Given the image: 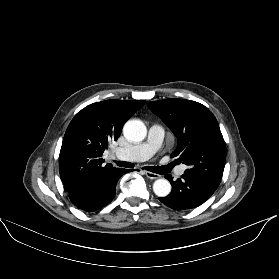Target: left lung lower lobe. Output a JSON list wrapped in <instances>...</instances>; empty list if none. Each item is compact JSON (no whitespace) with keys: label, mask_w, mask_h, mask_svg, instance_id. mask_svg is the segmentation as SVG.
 Segmentation results:
<instances>
[{"label":"left lung lower lobe","mask_w":279,"mask_h":279,"mask_svg":"<svg viewBox=\"0 0 279 279\" xmlns=\"http://www.w3.org/2000/svg\"><path fill=\"white\" fill-rule=\"evenodd\" d=\"M165 177L170 181L172 191L167 197L159 198V200L174 210L198 207L216 190L206 182L185 173L176 181H173L171 175Z\"/></svg>","instance_id":"obj_1"}]
</instances>
